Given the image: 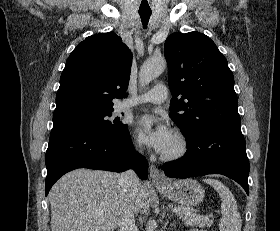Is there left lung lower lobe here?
Wrapping results in <instances>:
<instances>
[{
	"instance_id": "obj_1",
	"label": "left lung lower lobe",
	"mask_w": 280,
	"mask_h": 231,
	"mask_svg": "<svg viewBox=\"0 0 280 231\" xmlns=\"http://www.w3.org/2000/svg\"><path fill=\"white\" fill-rule=\"evenodd\" d=\"M186 142L185 156L163 165L166 176L222 174L239 183L249 195V160L240 125L211 126L187 137Z\"/></svg>"
}]
</instances>
